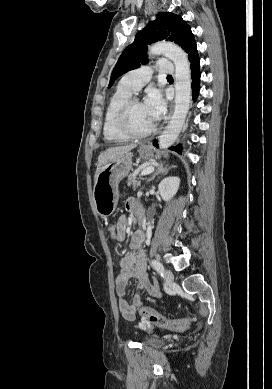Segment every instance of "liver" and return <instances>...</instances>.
Segmentation results:
<instances>
[{
	"instance_id": "liver-1",
	"label": "liver",
	"mask_w": 272,
	"mask_h": 389,
	"mask_svg": "<svg viewBox=\"0 0 272 389\" xmlns=\"http://www.w3.org/2000/svg\"><path fill=\"white\" fill-rule=\"evenodd\" d=\"M137 144H129V145H123V146H117V147H110L106 149L101 155L100 159L97 165V169L94 176V181L96 182L98 173L101 169V167L108 163L111 160H114L121 155H124L128 152H130L132 149L136 148Z\"/></svg>"
}]
</instances>
